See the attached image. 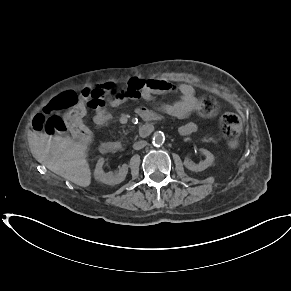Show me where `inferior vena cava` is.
<instances>
[{"instance_id":"inferior-vena-cava-1","label":"inferior vena cava","mask_w":291,"mask_h":291,"mask_svg":"<svg viewBox=\"0 0 291 291\" xmlns=\"http://www.w3.org/2000/svg\"><path fill=\"white\" fill-rule=\"evenodd\" d=\"M146 145H147V142L144 141V140H141V141H138V142L134 143L133 148H134L135 150H140V149H142L143 147H145Z\"/></svg>"}]
</instances>
